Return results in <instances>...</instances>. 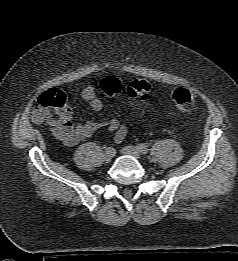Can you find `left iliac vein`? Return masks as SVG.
<instances>
[{
    "label": "left iliac vein",
    "instance_id": "obj_1",
    "mask_svg": "<svg viewBox=\"0 0 238 261\" xmlns=\"http://www.w3.org/2000/svg\"><path fill=\"white\" fill-rule=\"evenodd\" d=\"M122 153L125 154V155L133 156L136 159L141 158V154H140L139 150L136 147L131 146V145L123 147Z\"/></svg>",
    "mask_w": 238,
    "mask_h": 261
}]
</instances>
